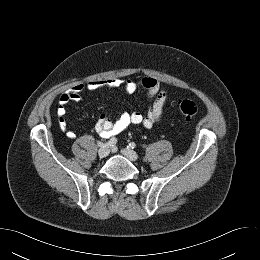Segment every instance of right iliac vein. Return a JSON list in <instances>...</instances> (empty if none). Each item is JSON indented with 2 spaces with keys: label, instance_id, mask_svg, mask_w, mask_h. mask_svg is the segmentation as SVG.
Returning <instances> with one entry per match:
<instances>
[{
  "label": "right iliac vein",
  "instance_id": "right-iliac-vein-1",
  "mask_svg": "<svg viewBox=\"0 0 260 260\" xmlns=\"http://www.w3.org/2000/svg\"><path fill=\"white\" fill-rule=\"evenodd\" d=\"M110 150L107 147H102L98 150V155L100 158H105L108 156Z\"/></svg>",
  "mask_w": 260,
  "mask_h": 260
}]
</instances>
